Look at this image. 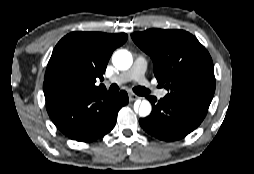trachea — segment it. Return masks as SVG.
Masks as SVG:
<instances>
[{"instance_id":"trachea-1","label":"trachea","mask_w":254,"mask_h":174,"mask_svg":"<svg viewBox=\"0 0 254 174\" xmlns=\"http://www.w3.org/2000/svg\"><path fill=\"white\" fill-rule=\"evenodd\" d=\"M118 91H119V87L117 86V84H112V85L110 86V88H109V92H110L111 94H115V93H117ZM133 91H134L137 95H139V96H145V95H147V94L150 93V91H149L148 89L144 88V87H134V88H133Z\"/></svg>"}]
</instances>
